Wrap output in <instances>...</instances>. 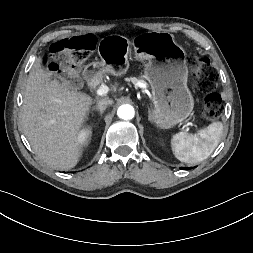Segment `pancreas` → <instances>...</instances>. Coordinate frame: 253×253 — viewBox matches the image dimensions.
I'll return each mask as SVG.
<instances>
[{
	"label": "pancreas",
	"instance_id": "cf45deb5",
	"mask_svg": "<svg viewBox=\"0 0 253 253\" xmlns=\"http://www.w3.org/2000/svg\"><path fill=\"white\" fill-rule=\"evenodd\" d=\"M132 82H137L138 80L136 78L131 79Z\"/></svg>",
	"mask_w": 253,
	"mask_h": 253
}]
</instances>
